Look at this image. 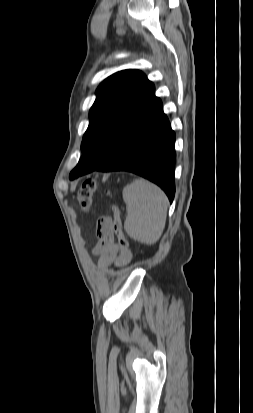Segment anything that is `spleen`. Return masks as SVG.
I'll return each mask as SVG.
<instances>
[{
	"label": "spleen",
	"mask_w": 253,
	"mask_h": 413,
	"mask_svg": "<svg viewBox=\"0 0 253 413\" xmlns=\"http://www.w3.org/2000/svg\"><path fill=\"white\" fill-rule=\"evenodd\" d=\"M127 216L124 229L132 239L151 245L161 237L166 223L168 199L155 184L135 179L123 189Z\"/></svg>",
	"instance_id": "1"
}]
</instances>
